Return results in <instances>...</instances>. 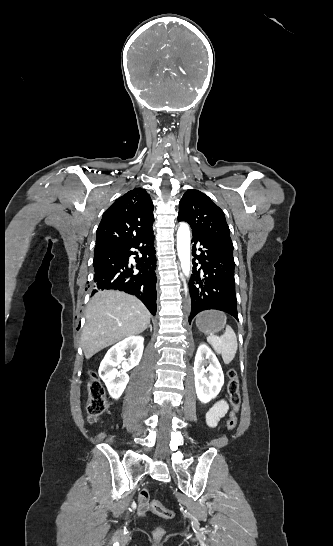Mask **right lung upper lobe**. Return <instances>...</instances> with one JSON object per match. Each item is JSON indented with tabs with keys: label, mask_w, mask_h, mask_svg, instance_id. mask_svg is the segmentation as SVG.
I'll use <instances>...</instances> for the list:
<instances>
[{
	"label": "right lung upper lobe",
	"mask_w": 333,
	"mask_h": 546,
	"mask_svg": "<svg viewBox=\"0 0 333 546\" xmlns=\"http://www.w3.org/2000/svg\"><path fill=\"white\" fill-rule=\"evenodd\" d=\"M153 203L146 190L135 188L119 197L103 214L96 243L110 238H132L152 231Z\"/></svg>",
	"instance_id": "1"
}]
</instances>
